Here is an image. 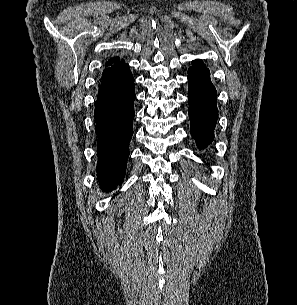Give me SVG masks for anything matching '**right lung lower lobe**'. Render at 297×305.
<instances>
[{
    "label": "right lung lower lobe",
    "instance_id": "1",
    "mask_svg": "<svg viewBox=\"0 0 297 305\" xmlns=\"http://www.w3.org/2000/svg\"><path fill=\"white\" fill-rule=\"evenodd\" d=\"M135 88L128 65L101 80L95 106L97 175L105 191L123 182L133 135Z\"/></svg>",
    "mask_w": 297,
    "mask_h": 305
}]
</instances>
